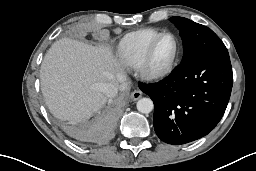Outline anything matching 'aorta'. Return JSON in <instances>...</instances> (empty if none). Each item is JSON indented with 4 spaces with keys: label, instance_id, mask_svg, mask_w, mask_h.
Returning a JSON list of instances; mask_svg holds the SVG:
<instances>
[{
    "label": "aorta",
    "instance_id": "762f6f07",
    "mask_svg": "<svg viewBox=\"0 0 256 171\" xmlns=\"http://www.w3.org/2000/svg\"><path fill=\"white\" fill-rule=\"evenodd\" d=\"M137 110L141 113L148 114L153 108L154 104L150 98H141L137 101Z\"/></svg>",
    "mask_w": 256,
    "mask_h": 171
}]
</instances>
